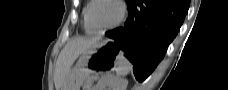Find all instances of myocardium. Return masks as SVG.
Wrapping results in <instances>:
<instances>
[{"label": "myocardium", "mask_w": 228, "mask_h": 90, "mask_svg": "<svg viewBox=\"0 0 228 90\" xmlns=\"http://www.w3.org/2000/svg\"><path fill=\"white\" fill-rule=\"evenodd\" d=\"M98 1H101V0H92L91 1V5L89 7L88 15H87L88 24H89L90 28L94 31V33H104V32H107L109 30H112V29L118 27L125 20L126 7L123 4V2L120 0H108V1L115 3L118 6L119 16L116 19V21L114 23H112L111 25H109L105 28H102V29L96 28L93 24V21H92V10Z\"/></svg>", "instance_id": "obj_1"}]
</instances>
